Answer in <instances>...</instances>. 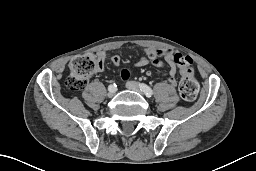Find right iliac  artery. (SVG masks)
<instances>
[{
    "instance_id": "1",
    "label": "right iliac artery",
    "mask_w": 256,
    "mask_h": 171,
    "mask_svg": "<svg viewBox=\"0 0 256 171\" xmlns=\"http://www.w3.org/2000/svg\"><path fill=\"white\" fill-rule=\"evenodd\" d=\"M116 84L114 83V84H111V85H109V87H108V90H115L116 91Z\"/></svg>"
}]
</instances>
